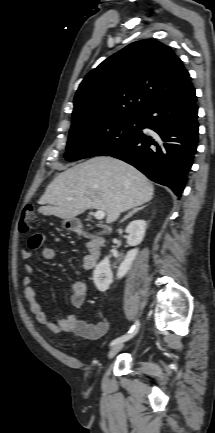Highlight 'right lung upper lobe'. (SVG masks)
<instances>
[{"instance_id": "right-lung-upper-lobe-1", "label": "right lung upper lobe", "mask_w": 215, "mask_h": 433, "mask_svg": "<svg viewBox=\"0 0 215 433\" xmlns=\"http://www.w3.org/2000/svg\"><path fill=\"white\" fill-rule=\"evenodd\" d=\"M190 79L169 46L154 39L131 43L84 78L74 98L72 125L142 116Z\"/></svg>"}]
</instances>
